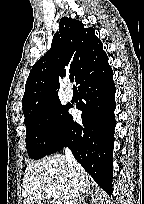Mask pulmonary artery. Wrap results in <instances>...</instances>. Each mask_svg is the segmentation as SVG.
<instances>
[{
  "label": "pulmonary artery",
  "mask_w": 144,
  "mask_h": 204,
  "mask_svg": "<svg viewBox=\"0 0 144 204\" xmlns=\"http://www.w3.org/2000/svg\"><path fill=\"white\" fill-rule=\"evenodd\" d=\"M64 95H65L67 100H71L73 97V91L71 89L67 88L64 92Z\"/></svg>",
  "instance_id": "1"
}]
</instances>
